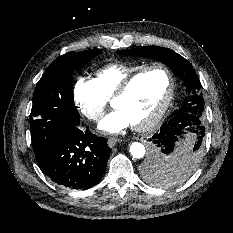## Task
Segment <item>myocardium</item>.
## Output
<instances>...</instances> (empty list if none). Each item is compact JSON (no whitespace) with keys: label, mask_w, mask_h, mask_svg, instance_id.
Listing matches in <instances>:
<instances>
[{"label":"myocardium","mask_w":233,"mask_h":233,"mask_svg":"<svg viewBox=\"0 0 233 233\" xmlns=\"http://www.w3.org/2000/svg\"><path fill=\"white\" fill-rule=\"evenodd\" d=\"M153 69H160L166 73L169 81L168 91L160 107L148 120L140 124L132 125V129L135 131L143 132L150 130L159 123V121L167 112L175 92V80L171 71L165 65L159 63L146 65L137 72L127 77L119 86V88L116 90L113 97L111 98V105L112 107H114L115 103L128 93V91L131 89V87L139 77H141L143 74Z\"/></svg>","instance_id":"f54148a6"}]
</instances>
